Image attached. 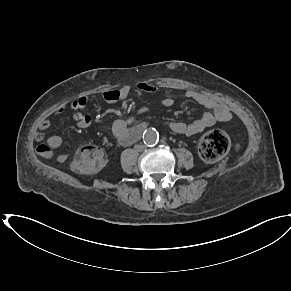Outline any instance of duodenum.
Segmentation results:
<instances>
[{
	"label": "duodenum",
	"mask_w": 291,
	"mask_h": 291,
	"mask_svg": "<svg viewBox=\"0 0 291 291\" xmlns=\"http://www.w3.org/2000/svg\"><path fill=\"white\" fill-rule=\"evenodd\" d=\"M147 127H148V124H146V129H147ZM146 129H145V130H146ZM145 130H144V131H145ZM144 131H143V132H144Z\"/></svg>",
	"instance_id": "obj_1"
}]
</instances>
